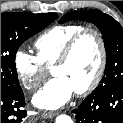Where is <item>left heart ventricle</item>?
<instances>
[{"label": "left heart ventricle", "instance_id": "b2bd125f", "mask_svg": "<svg viewBox=\"0 0 123 123\" xmlns=\"http://www.w3.org/2000/svg\"><path fill=\"white\" fill-rule=\"evenodd\" d=\"M99 63V46L93 35H86L76 46L70 60L56 67L52 74L69 81L74 91L85 87L94 76Z\"/></svg>", "mask_w": 123, "mask_h": 123}]
</instances>
